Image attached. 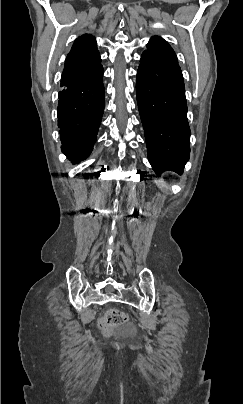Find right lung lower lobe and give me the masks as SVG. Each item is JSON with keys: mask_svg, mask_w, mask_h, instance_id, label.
Instances as JSON below:
<instances>
[{"mask_svg": "<svg viewBox=\"0 0 243 404\" xmlns=\"http://www.w3.org/2000/svg\"><path fill=\"white\" fill-rule=\"evenodd\" d=\"M100 64L90 73L69 80L59 92L58 127L62 152L73 163L89 156L105 105Z\"/></svg>", "mask_w": 243, "mask_h": 404, "instance_id": "98d812e1", "label": "right lung lower lobe"}]
</instances>
